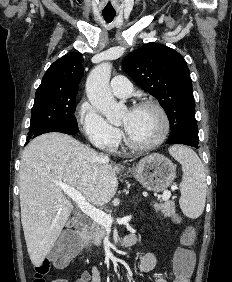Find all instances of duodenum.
Masks as SVG:
<instances>
[{"label": "duodenum", "mask_w": 232, "mask_h": 282, "mask_svg": "<svg viewBox=\"0 0 232 282\" xmlns=\"http://www.w3.org/2000/svg\"><path fill=\"white\" fill-rule=\"evenodd\" d=\"M75 231L80 242L81 247H85L87 226L84 223H78L75 227ZM135 243L134 238L131 235H127L121 239V245L124 247L132 246Z\"/></svg>", "instance_id": "1"}]
</instances>
